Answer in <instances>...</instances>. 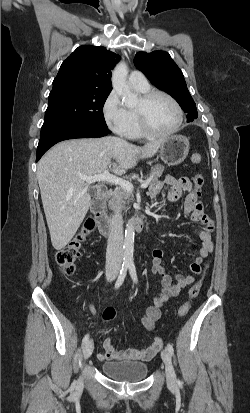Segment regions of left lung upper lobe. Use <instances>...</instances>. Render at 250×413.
I'll return each instance as SVG.
<instances>
[{"label":"left lung upper lobe","instance_id":"obj_1","mask_svg":"<svg viewBox=\"0 0 250 413\" xmlns=\"http://www.w3.org/2000/svg\"><path fill=\"white\" fill-rule=\"evenodd\" d=\"M134 64L153 85L176 99L187 113V120L198 117L195 102L187 89L183 73L167 52H138Z\"/></svg>","mask_w":250,"mask_h":413}]
</instances>
